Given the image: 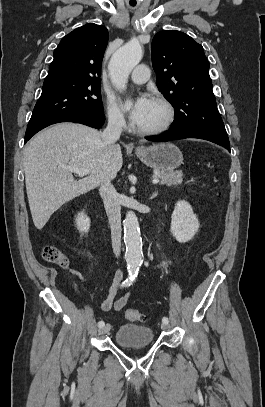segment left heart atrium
Returning a JSON list of instances; mask_svg holds the SVG:
<instances>
[{
	"label": "left heart atrium",
	"instance_id": "obj_1",
	"mask_svg": "<svg viewBox=\"0 0 265 407\" xmlns=\"http://www.w3.org/2000/svg\"><path fill=\"white\" fill-rule=\"evenodd\" d=\"M152 103L148 96L138 97L131 106L130 116L135 124H139L147 114Z\"/></svg>",
	"mask_w": 265,
	"mask_h": 407
}]
</instances>
